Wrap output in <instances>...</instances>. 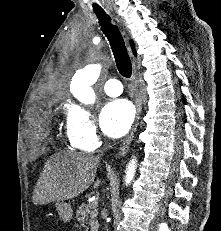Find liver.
<instances>
[{
	"label": "liver",
	"mask_w": 221,
	"mask_h": 231,
	"mask_svg": "<svg viewBox=\"0 0 221 231\" xmlns=\"http://www.w3.org/2000/svg\"><path fill=\"white\" fill-rule=\"evenodd\" d=\"M100 157L70 151L52 155L44 165L32 196L35 205L65 201L79 196L95 180ZM101 180L94 182L97 188Z\"/></svg>",
	"instance_id": "obj_1"
}]
</instances>
